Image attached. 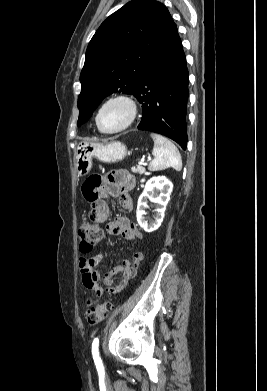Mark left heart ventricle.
Returning a JSON list of instances; mask_svg holds the SVG:
<instances>
[{"instance_id":"obj_1","label":"left heart ventricle","mask_w":267,"mask_h":391,"mask_svg":"<svg viewBox=\"0 0 267 391\" xmlns=\"http://www.w3.org/2000/svg\"><path fill=\"white\" fill-rule=\"evenodd\" d=\"M129 111L122 102L108 104L100 114V125L104 130H115L121 127L127 120Z\"/></svg>"}]
</instances>
